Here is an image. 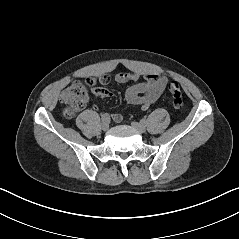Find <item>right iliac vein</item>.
<instances>
[{"mask_svg": "<svg viewBox=\"0 0 239 239\" xmlns=\"http://www.w3.org/2000/svg\"><path fill=\"white\" fill-rule=\"evenodd\" d=\"M109 129V123L108 122H103L102 123V130L107 131Z\"/></svg>", "mask_w": 239, "mask_h": 239, "instance_id": "right-iliac-vein-1", "label": "right iliac vein"}]
</instances>
